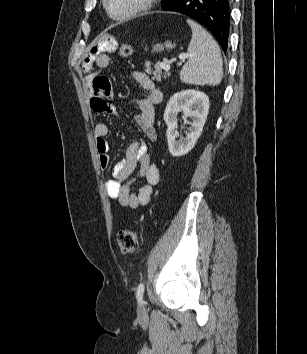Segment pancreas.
<instances>
[{
  "label": "pancreas",
  "mask_w": 307,
  "mask_h": 354,
  "mask_svg": "<svg viewBox=\"0 0 307 354\" xmlns=\"http://www.w3.org/2000/svg\"><path fill=\"white\" fill-rule=\"evenodd\" d=\"M162 63L157 62L154 65V70L150 67V65H146L145 72L148 75H152V79L156 80L158 82L161 81V78H167L168 77V72H163V68L161 66Z\"/></svg>",
  "instance_id": "1"
}]
</instances>
